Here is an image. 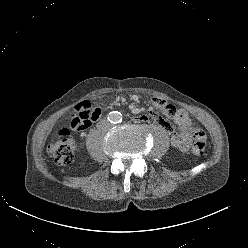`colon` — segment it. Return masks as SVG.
Returning a JSON list of instances; mask_svg holds the SVG:
<instances>
[{
  "instance_id": "5ec220e1",
  "label": "colon",
  "mask_w": 248,
  "mask_h": 248,
  "mask_svg": "<svg viewBox=\"0 0 248 248\" xmlns=\"http://www.w3.org/2000/svg\"><path fill=\"white\" fill-rule=\"evenodd\" d=\"M175 107V106H174ZM99 108L93 107L90 102L78 103L70 114V124L76 131L87 130L93 121L96 120ZM193 145L192 152L195 155H202L206 147V135L203 130L192 131ZM76 144L70 137L67 129H61L56 139L48 145V153L58 165H68L74 159Z\"/></svg>"
}]
</instances>
